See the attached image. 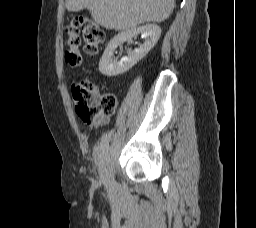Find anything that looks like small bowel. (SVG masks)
<instances>
[{
	"label": "small bowel",
	"mask_w": 256,
	"mask_h": 228,
	"mask_svg": "<svg viewBox=\"0 0 256 228\" xmlns=\"http://www.w3.org/2000/svg\"><path fill=\"white\" fill-rule=\"evenodd\" d=\"M102 122H104V119H100L97 121V123H102Z\"/></svg>",
	"instance_id": "obj_1"
}]
</instances>
